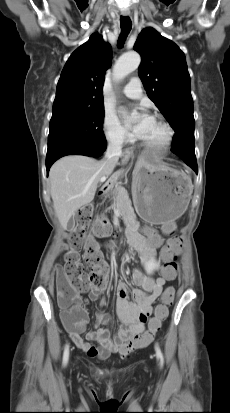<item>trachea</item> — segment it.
<instances>
[{"label":"trachea","mask_w":230,"mask_h":413,"mask_svg":"<svg viewBox=\"0 0 230 413\" xmlns=\"http://www.w3.org/2000/svg\"><path fill=\"white\" fill-rule=\"evenodd\" d=\"M120 26H121V35L119 38V47H121L124 44V41L128 34L131 31L132 28V22L128 16L123 17L121 16L120 18Z\"/></svg>","instance_id":"1"}]
</instances>
